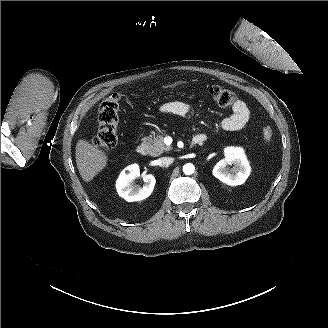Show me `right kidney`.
Wrapping results in <instances>:
<instances>
[{
  "label": "right kidney",
  "mask_w": 328,
  "mask_h": 328,
  "mask_svg": "<svg viewBox=\"0 0 328 328\" xmlns=\"http://www.w3.org/2000/svg\"><path fill=\"white\" fill-rule=\"evenodd\" d=\"M140 176L138 164H131L121 171L117 181L116 189L120 197L128 202L140 201L151 195L156 180L151 174L143 177V187H137L133 180Z\"/></svg>",
  "instance_id": "ca27d5eb"
}]
</instances>
